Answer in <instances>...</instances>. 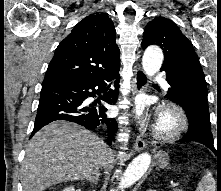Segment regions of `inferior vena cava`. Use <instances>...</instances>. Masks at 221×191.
Returning <instances> with one entry per match:
<instances>
[{
  "label": "inferior vena cava",
  "instance_id": "inferior-vena-cava-1",
  "mask_svg": "<svg viewBox=\"0 0 221 191\" xmlns=\"http://www.w3.org/2000/svg\"><path fill=\"white\" fill-rule=\"evenodd\" d=\"M107 158L111 159L112 160V157H113V152L112 150H107V154H106Z\"/></svg>",
  "mask_w": 221,
  "mask_h": 191
}]
</instances>
